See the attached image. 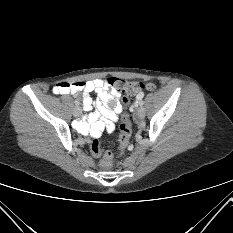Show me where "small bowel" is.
<instances>
[{"label":"small bowel","instance_id":"obj_1","mask_svg":"<svg viewBox=\"0 0 233 233\" xmlns=\"http://www.w3.org/2000/svg\"><path fill=\"white\" fill-rule=\"evenodd\" d=\"M108 82L102 79L77 82H60L53 88L55 94H76L82 92L83 108L89 112L92 108L95 111L84 116L83 120L76 123V129L83 134L89 133L94 137H100L103 132L112 133L115 123L122 112V105L119 102L118 94L111 90ZM91 93H96L98 99L93 101ZM143 95L140 92L137 96Z\"/></svg>","mask_w":233,"mask_h":233}]
</instances>
